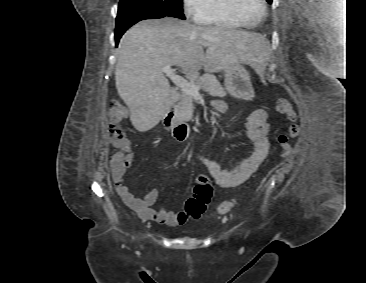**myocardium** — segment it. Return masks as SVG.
<instances>
[{
    "label": "myocardium",
    "instance_id": "myocardium-1",
    "mask_svg": "<svg viewBox=\"0 0 366 283\" xmlns=\"http://www.w3.org/2000/svg\"><path fill=\"white\" fill-rule=\"evenodd\" d=\"M262 6V13L260 15V17L257 19V21L255 23L249 24L247 23L242 16L240 15L239 12V4H240V0H225V6L227 8L228 13L230 14V16L241 26L243 27H247V28H252V27H256L257 25H259L262 20L265 18L266 13H267V4H266V0H259Z\"/></svg>",
    "mask_w": 366,
    "mask_h": 283
}]
</instances>
